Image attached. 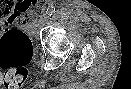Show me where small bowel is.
Wrapping results in <instances>:
<instances>
[{
  "label": "small bowel",
  "instance_id": "obj_1",
  "mask_svg": "<svg viewBox=\"0 0 131 89\" xmlns=\"http://www.w3.org/2000/svg\"><path fill=\"white\" fill-rule=\"evenodd\" d=\"M25 7H26L25 4H18V5L16 6L17 10H22V9L25 8ZM14 19H16V17L11 16V17H7V18H4V19L0 20V30L2 29V25H3V24H6V25H7L10 21H12V20H14Z\"/></svg>",
  "mask_w": 131,
  "mask_h": 89
}]
</instances>
